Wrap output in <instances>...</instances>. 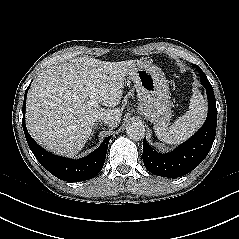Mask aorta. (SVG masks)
<instances>
[{"mask_svg": "<svg viewBox=\"0 0 239 239\" xmlns=\"http://www.w3.org/2000/svg\"><path fill=\"white\" fill-rule=\"evenodd\" d=\"M127 135L133 140H140L145 135V128L142 123L135 122L127 127Z\"/></svg>", "mask_w": 239, "mask_h": 239, "instance_id": "762f6f07", "label": "aorta"}]
</instances>
